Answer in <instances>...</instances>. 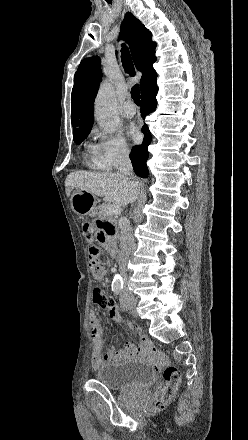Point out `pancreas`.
Returning <instances> with one entry per match:
<instances>
[{"label":"pancreas","mask_w":248,"mask_h":440,"mask_svg":"<svg viewBox=\"0 0 248 440\" xmlns=\"http://www.w3.org/2000/svg\"><path fill=\"white\" fill-rule=\"evenodd\" d=\"M106 205H103L99 208V211H96L94 214L98 216V218H101L103 220H109L111 222L116 223V218L113 216H110L105 213Z\"/></svg>","instance_id":"1"}]
</instances>
